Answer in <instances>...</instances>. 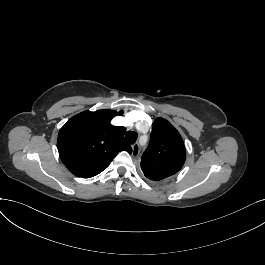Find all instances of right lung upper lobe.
Segmentation results:
<instances>
[{
	"label": "right lung upper lobe",
	"mask_w": 265,
	"mask_h": 265,
	"mask_svg": "<svg viewBox=\"0 0 265 265\" xmlns=\"http://www.w3.org/2000/svg\"><path fill=\"white\" fill-rule=\"evenodd\" d=\"M123 111H84L60 129L57 148L62 162L78 177L90 178L105 170L120 151L132 152L124 140L125 129L111 119Z\"/></svg>",
	"instance_id": "cb5924a9"
}]
</instances>
